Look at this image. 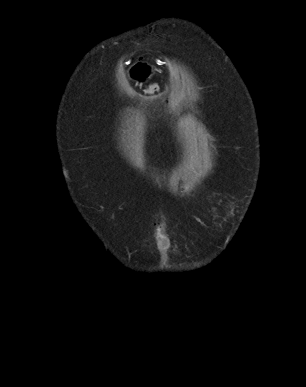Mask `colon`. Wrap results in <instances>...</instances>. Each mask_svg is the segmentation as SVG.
I'll list each match as a JSON object with an SVG mask.
<instances>
[{"instance_id":"5ec220e1","label":"colon","mask_w":306,"mask_h":387,"mask_svg":"<svg viewBox=\"0 0 306 387\" xmlns=\"http://www.w3.org/2000/svg\"><path fill=\"white\" fill-rule=\"evenodd\" d=\"M159 92V87L157 84H152L148 87L147 89V94L149 96H154V95H157Z\"/></svg>"}]
</instances>
